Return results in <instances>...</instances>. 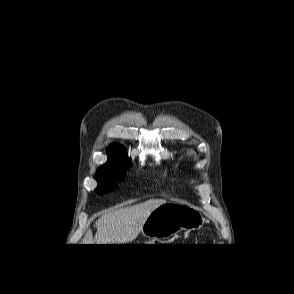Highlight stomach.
Returning a JSON list of instances; mask_svg holds the SVG:
<instances>
[{
  "instance_id": "0dacf381",
  "label": "stomach",
  "mask_w": 294,
  "mask_h": 294,
  "mask_svg": "<svg viewBox=\"0 0 294 294\" xmlns=\"http://www.w3.org/2000/svg\"><path fill=\"white\" fill-rule=\"evenodd\" d=\"M204 223L205 218L195 208L166 202L150 213L142 226L141 234L154 240L169 239L181 230H198Z\"/></svg>"
}]
</instances>
